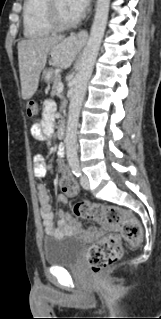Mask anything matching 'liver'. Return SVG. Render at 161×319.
Masks as SVG:
<instances>
[{
	"label": "liver",
	"instance_id": "1",
	"mask_svg": "<svg viewBox=\"0 0 161 319\" xmlns=\"http://www.w3.org/2000/svg\"><path fill=\"white\" fill-rule=\"evenodd\" d=\"M63 38L62 35L46 36L26 39L18 43L19 73L24 100L30 99L35 94L48 52Z\"/></svg>",
	"mask_w": 161,
	"mask_h": 319
}]
</instances>
